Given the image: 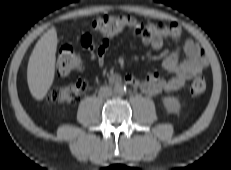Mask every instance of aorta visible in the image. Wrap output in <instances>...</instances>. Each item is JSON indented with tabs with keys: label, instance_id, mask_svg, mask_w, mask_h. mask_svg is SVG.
<instances>
[{
	"label": "aorta",
	"instance_id": "1",
	"mask_svg": "<svg viewBox=\"0 0 231 170\" xmlns=\"http://www.w3.org/2000/svg\"><path fill=\"white\" fill-rule=\"evenodd\" d=\"M126 91H127L126 87L121 83H118L114 86V92L117 95H124Z\"/></svg>",
	"mask_w": 231,
	"mask_h": 170
}]
</instances>
